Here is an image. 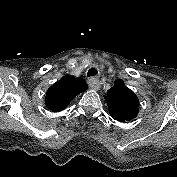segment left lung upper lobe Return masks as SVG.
I'll return each instance as SVG.
<instances>
[{
  "label": "left lung upper lobe",
  "instance_id": "5c2ea615",
  "mask_svg": "<svg viewBox=\"0 0 177 177\" xmlns=\"http://www.w3.org/2000/svg\"><path fill=\"white\" fill-rule=\"evenodd\" d=\"M109 113L119 122L130 121L138 114L139 101L134 92L124 85L122 80L114 83V87L104 97Z\"/></svg>",
  "mask_w": 177,
  "mask_h": 177
}]
</instances>
